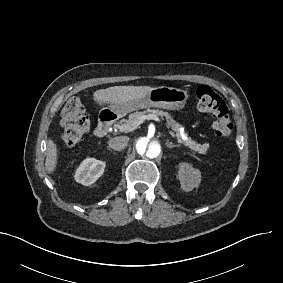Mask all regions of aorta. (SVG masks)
<instances>
[{
  "label": "aorta",
  "instance_id": "obj_1",
  "mask_svg": "<svg viewBox=\"0 0 283 283\" xmlns=\"http://www.w3.org/2000/svg\"><path fill=\"white\" fill-rule=\"evenodd\" d=\"M136 156L143 162L159 161L162 155V140L156 134H143L134 142Z\"/></svg>",
  "mask_w": 283,
  "mask_h": 283
}]
</instances>
